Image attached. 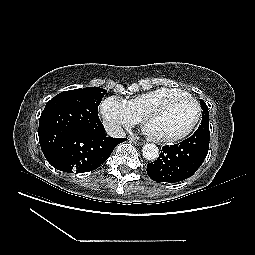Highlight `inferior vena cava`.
<instances>
[{
  "label": "inferior vena cava",
  "mask_w": 255,
  "mask_h": 255,
  "mask_svg": "<svg viewBox=\"0 0 255 255\" xmlns=\"http://www.w3.org/2000/svg\"><path fill=\"white\" fill-rule=\"evenodd\" d=\"M106 132L113 138H124L126 136L123 128L117 124H108L106 126Z\"/></svg>",
  "instance_id": "obj_1"
}]
</instances>
